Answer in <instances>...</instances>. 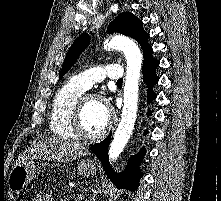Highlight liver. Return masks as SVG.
Segmentation results:
<instances>
[{
  "mask_svg": "<svg viewBox=\"0 0 221 201\" xmlns=\"http://www.w3.org/2000/svg\"><path fill=\"white\" fill-rule=\"evenodd\" d=\"M89 154L88 149L79 143L67 142L60 138H48L28 148L20 155V158L21 161L36 158L67 162Z\"/></svg>",
  "mask_w": 221,
  "mask_h": 201,
  "instance_id": "obj_1",
  "label": "liver"
}]
</instances>
